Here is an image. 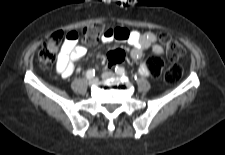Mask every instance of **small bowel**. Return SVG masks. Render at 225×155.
<instances>
[{"mask_svg": "<svg viewBox=\"0 0 225 155\" xmlns=\"http://www.w3.org/2000/svg\"><path fill=\"white\" fill-rule=\"evenodd\" d=\"M101 39L104 43L112 41L127 42L132 47L131 57L134 60L141 61L139 66L140 74H142L140 71L141 66L147 63V61L142 60L145 51L149 50L154 57H160L164 53L162 46L158 43L156 34L153 32L141 33L139 31H130L124 27H116L111 28ZM80 40L81 33L79 30L70 29L67 31L66 40L61 47L56 63L57 72L65 78L74 73L77 62L86 54V49L77 44Z\"/></svg>", "mask_w": 225, "mask_h": 155, "instance_id": "small-bowel-1", "label": "small bowel"}]
</instances>
